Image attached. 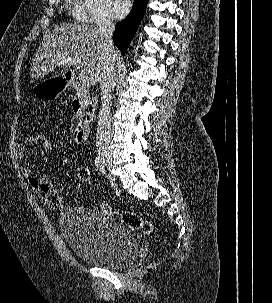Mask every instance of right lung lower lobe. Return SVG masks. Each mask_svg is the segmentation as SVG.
Instances as JSON below:
<instances>
[{
  "label": "right lung lower lobe",
  "mask_w": 272,
  "mask_h": 303,
  "mask_svg": "<svg viewBox=\"0 0 272 303\" xmlns=\"http://www.w3.org/2000/svg\"><path fill=\"white\" fill-rule=\"evenodd\" d=\"M147 3L148 0H134L130 14L123 21L116 24L113 41L122 55L125 54L145 15Z\"/></svg>",
  "instance_id": "1"
}]
</instances>
